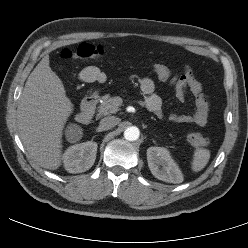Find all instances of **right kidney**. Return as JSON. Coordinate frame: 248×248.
I'll list each match as a JSON object with an SVG mask.
<instances>
[{
	"mask_svg": "<svg viewBox=\"0 0 248 248\" xmlns=\"http://www.w3.org/2000/svg\"><path fill=\"white\" fill-rule=\"evenodd\" d=\"M97 143L87 141L70 146L63 154L64 168L69 173H82L95 162Z\"/></svg>",
	"mask_w": 248,
	"mask_h": 248,
	"instance_id": "ca27d5eb",
	"label": "right kidney"
}]
</instances>
